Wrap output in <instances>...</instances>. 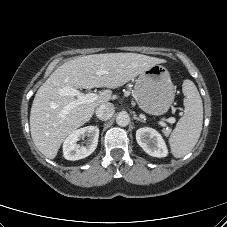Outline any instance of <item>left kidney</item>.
<instances>
[{"label":"left kidney","mask_w":227,"mask_h":227,"mask_svg":"<svg viewBox=\"0 0 227 227\" xmlns=\"http://www.w3.org/2000/svg\"><path fill=\"white\" fill-rule=\"evenodd\" d=\"M136 140L140 147L150 156L166 157L168 149L160 133L155 129L145 127L136 131Z\"/></svg>","instance_id":"1"}]
</instances>
